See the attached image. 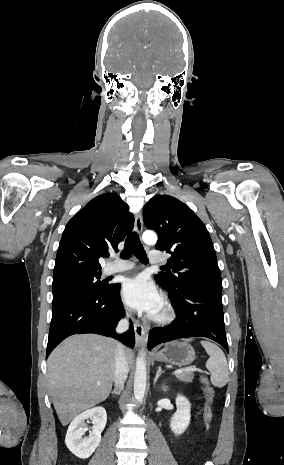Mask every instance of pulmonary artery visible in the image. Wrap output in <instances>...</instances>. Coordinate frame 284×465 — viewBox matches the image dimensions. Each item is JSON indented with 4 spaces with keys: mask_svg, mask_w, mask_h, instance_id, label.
Wrapping results in <instances>:
<instances>
[{
    "mask_svg": "<svg viewBox=\"0 0 284 465\" xmlns=\"http://www.w3.org/2000/svg\"><path fill=\"white\" fill-rule=\"evenodd\" d=\"M147 261L149 263H166L168 256L162 250H150ZM133 268V264L127 261H114L104 269V273L111 275L118 272L128 271Z\"/></svg>",
    "mask_w": 284,
    "mask_h": 465,
    "instance_id": "obj_1",
    "label": "pulmonary artery"
}]
</instances>
